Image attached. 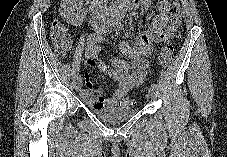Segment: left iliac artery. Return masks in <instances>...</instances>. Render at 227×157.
Here are the masks:
<instances>
[{"instance_id":"44dca946","label":"left iliac artery","mask_w":227,"mask_h":157,"mask_svg":"<svg viewBox=\"0 0 227 157\" xmlns=\"http://www.w3.org/2000/svg\"><path fill=\"white\" fill-rule=\"evenodd\" d=\"M151 88L156 89V88H157V84L153 82V83L151 84Z\"/></svg>"}]
</instances>
